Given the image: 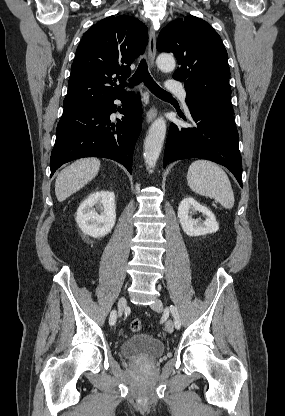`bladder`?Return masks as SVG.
Returning a JSON list of instances; mask_svg holds the SVG:
<instances>
[{
  "mask_svg": "<svg viewBox=\"0 0 285 416\" xmlns=\"http://www.w3.org/2000/svg\"><path fill=\"white\" fill-rule=\"evenodd\" d=\"M120 351L125 358L146 356L148 358H159L162 356L165 346L159 338L150 334H132L120 343Z\"/></svg>",
  "mask_w": 285,
  "mask_h": 416,
  "instance_id": "31cf9c89",
  "label": "bladder"
}]
</instances>
